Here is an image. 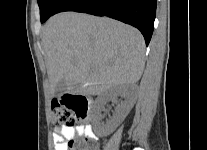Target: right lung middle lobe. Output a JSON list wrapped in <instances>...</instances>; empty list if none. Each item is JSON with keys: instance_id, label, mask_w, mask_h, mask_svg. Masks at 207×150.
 <instances>
[{"instance_id": "obj_1", "label": "right lung middle lobe", "mask_w": 207, "mask_h": 150, "mask_svg": "<svg viewBox=\"0 0 207 150\" xmlns=\"http://www.w3.org/2000/svg\"><path fill=\"white\" fill-rule=\"evenodd\" d=\"M62 1L63 0H38L41 23L45 22L50 16L54 15L55 10Z\"/></svg>"}]
</instances>
